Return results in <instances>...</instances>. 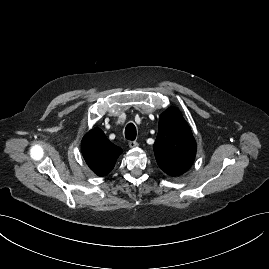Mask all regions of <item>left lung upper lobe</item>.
I'll use <instances>...</instances> for the list:
<instances>
[{"mask_svg": "<svg viewBox=\"0 0 269 269\" xmlns=\"http://www.w3.org/2000/svg\"><path fill=\"white\" fill-rule=\"evenodd\" d=\"M153 149L159 167L170 176L185 173L193 164L196 142L177 108L170 107L161 115Z\"/></svg>", "mask_w": 269, "mask_h": 269, "instance_id": "left-lung-upper-lobe-1", "label": "left lung upper lobe"}]
</instances>
